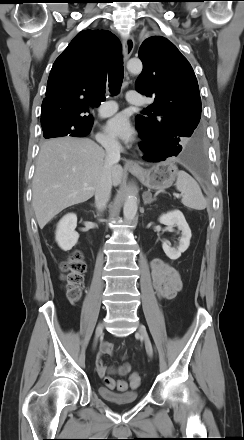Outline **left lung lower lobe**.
Listing matches in <instances>:
<instances>
[{"label": "left lung lower lobe", "instance_id": "1", "mask_svg": "<svg viewBox=\"0 0 244 440\" xmlns=\"http://www.w3.org/2000/svg\"><path fill=\"white\" fill-rule=\"evenodd\" d=\"M141 150L145 153L142 157L149 162L166 160L168 157H177L193 171L204 174L206 161L202 148L201 137L187 145L169 144L158 133L138 127Z\"/></svg>", "mask_w": 244, "mask_h": 440}]
</instances>
